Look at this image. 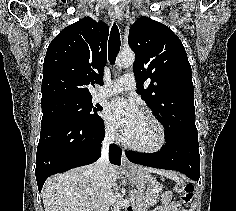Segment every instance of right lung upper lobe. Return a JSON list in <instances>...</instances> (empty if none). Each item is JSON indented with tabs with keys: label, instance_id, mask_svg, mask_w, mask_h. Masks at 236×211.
<instances>
[{
	"label": "right lung upper lobe",
	"instance_id": "right-lung-upper-lobe-1",
	"mask_svg": "<svg viewBox=\"0 0 236 211\" xmlns=\"http://www.w3.org/2000/svg\"><path fill=\"white\" fill-rule=\"evenodd\" d=\"M109 27L85 17L49 44L43 64L41 104L58 98H92L87 85L102 83Z\"/></svg>",
	"mask_w": 236,
	"mask_h": 211
}]
</instances>
